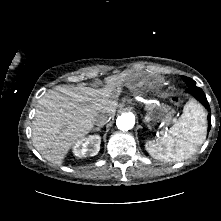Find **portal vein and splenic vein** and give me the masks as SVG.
Masks as SVG:
<instances>
[{
	"instance_id": "1",
	"label": "portal vein and splenic vein",
	"mask_w": 221,
	"mask_h": 221,
	"mask_svg": "<svg viewBox=\"0 0 221 221\" xmlns=\"http://www.w3.org/2000/svg\"><path fill=\"white\" fill-rule=\"evenodd\" d=\"M145 119H146L147 121H149V120H150V117L147 115V116L145 117Z\"/></svg>"
}]
</instances>
